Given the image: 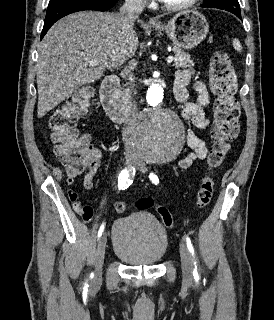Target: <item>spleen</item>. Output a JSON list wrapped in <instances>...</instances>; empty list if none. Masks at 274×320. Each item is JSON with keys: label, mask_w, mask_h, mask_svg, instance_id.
Returning <instances> with one entry per match:
<instances>
[{"label": "spleen", "mask_w": 274, "mask_h": 320, "mask_svg": "<svg viewBox=\"0 0 274 320\" xmlns=\"http://www.w3.org/2000/svg\"><path fill=\"white\" fill-rule=\"evenodd\" d=\"M232 42H233L234 50H237V52H242V48H241V44H240L239 40H236V38H234V40H232Z\"/></svg>", "instance_id": "obj_1"}]
</instances>
